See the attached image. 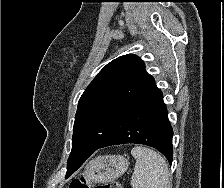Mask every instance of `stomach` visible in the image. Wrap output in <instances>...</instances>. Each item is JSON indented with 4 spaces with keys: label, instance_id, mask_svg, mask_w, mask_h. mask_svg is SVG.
I'll return each instance as SVG.
<instances>
[{
    "label": "stomach",
    "instance_id": "0dacf381",
    "mask_svg": "<svg viewBox=\"0 0 224 188\" xmlns=\"http://www.w3.org/2000/svg\"><path fill=\"white\" fill-rule=\"evenodd\" d=\"M128 165V159L124 156L102 155L89 161L82 174L91 182H108L124 174Z\"/></svg>",
    "mask_w": 224,
    "mask_h": 188
}]
</instances>
